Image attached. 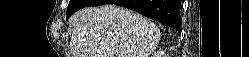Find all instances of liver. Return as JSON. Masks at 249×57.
Instances as JSON below:
<instances>
[{
  "label": "liver",
  "mask_w": 249,
  "mask_h": 57,
  "mask_svg": "<svg viewBox=\"0 0 249 57\" xmlns=\"http://www.w3.org/2000/svg\"><path fill=\"white\" fill-rule=\"evenodd\" d=\"M70 23L75 57H149L161 36L155 23L114 4L79 10Z\"/></svg>",
  "instance_id": "1"
}]
</instances>
